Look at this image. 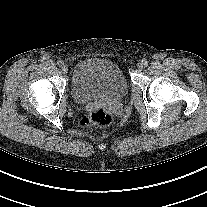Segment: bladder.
Wrapping results in <instances>:
<instances>
[{"label": "bladder", "mask_w": 207, "mask_h": 207, "mask_svg": "<svg viewBox=\"0 0 207 207\" xmlns=\"http://www.w3.org/2000/svg\"><path fill=\"white\" fill-rule=\"evenodd\" d=\"M128 82L115 63L101 58L79 61L73 68L71 94L80 104L124 97Z\"/></svg>", "instance_id": "1"}]
</instances>
